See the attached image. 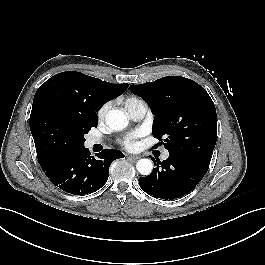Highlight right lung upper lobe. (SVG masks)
I'll return each mask as SVG.
<instances>
[{"label":"right lung upper lobe","instance_id":"cb5924a9","mask_svg":"<svg viewBox=\"0 0 265 265\" xmlns=\"http://www.w3.org/2000/svg\"><path fill=\"white\" fill-rule=\"evenodd\" d=\"M127 88L128 84H111L80 72H62L39 87L32 110L50 103L66 113L94 120L104 103L121 95Z\"/></svg>","mask_w":265,"mask_h":265}]
</instances>
